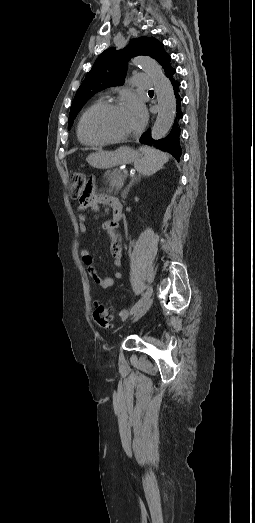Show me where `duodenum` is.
Segmentation results:
<instances>
[{"instance_id":"1","label":"duodenum","mask_w":255,"mask_h":523,"mask_svg":"<svg viewBox=\"0 0 255 523\" xmlns=\"http://www.w3.org/2000/svg\"><path fill=\"white\" fill-rule=\"evenodd\" d=\"M107 204L111 207L113 212L114 221H119L122 217L123 206L117 198L109 197L107 199Z\"/></svg>"}]
</instances>
